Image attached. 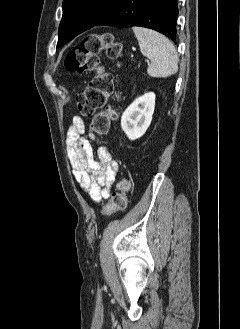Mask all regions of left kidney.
Wrapping results in <instances>:
<instances>
[{
	"label": "left kidney",
	"instance_id": "1",
	"mask_svg": "<svg viewBox=\"0 0 240 329\" xmlns=\"http://www.w3.org/2000/svg\"><path fill=\"white\" fill-rule=\"evenodd\" d=\"M155 94L149 92L137 98L122 114L121 127L130 140L144 135L151 124Z\"/></svg>",
	"mask_w": 240,
	"mask_h": 329
}]
</instances>
